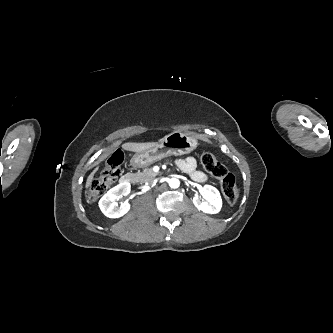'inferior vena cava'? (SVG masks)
<instances>
[{
    "mask_svg": "<svg viewBox=\"0 0 333 333\" xmlns=\"http://www.w3.org/2000/svg\"><path fill=\"white\" fill-rule=\"evenodd\" d=\"M155 182L154 181H152L151 183H150V185H153Z\"/></svg>",
    "mask_w": 333,
    "mask_h": 333,
    "instance_id": "602c4592",
    "label": "inferior vena cava"
}]
</instances>
